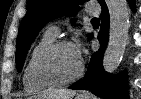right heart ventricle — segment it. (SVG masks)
<instances>
[{
  "label": "right heart ventricle",
  "mask_w": 141,
  "mask_h": 99,
  "mask_svg": "<svg viewBox=\"0 0 141 99\" xmlns=\"http://www.w3.org/2000/svg\"><path fill=\"white\" fill-rule=\"evenodd\" d=\"M52 42H54V37L49 35V34H45L41 40L36 44V46L33 48L31 55L29 57V60L27 62V65L24 69V73H23V77H22V82H23V87L27 92L30 93H38V92H42L48 88H50L47 85H43L38 83L32 75V67H33V63L36 59V57L38 56V54L49 44H51Z\"/></svg>",
  "instance_id": "e07e8e85"
}]
</instances>
